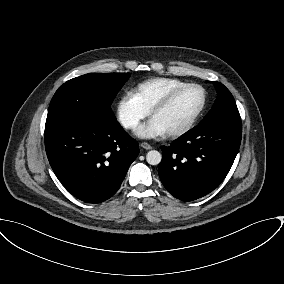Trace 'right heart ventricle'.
Listing matches in <instances>:
<instances>
[{
  "label": "right heart ventricle",
  "mask_w": 284,
  "mask_h": 284,
  "mask_svg": "<svg viewBox=\"0 0 284 284\" xmlns=\"http://www.w3.org/2000/svg\"><path fill=\"white\" fill-rule=\"evenodd\" d=\"M185 84V81L177 78L156 77L138 84L133 94L150 112L152 108L171 91Z\"/></svg>",
  "instance_id": "obj_1"
}]
</instances>
